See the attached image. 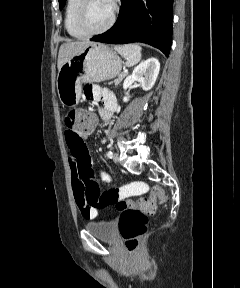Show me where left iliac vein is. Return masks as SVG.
I'll return each mask as SVG.
<instances>
[{"label": "left iliac vein", "mask_w": 240, "mask_h": 288, "mask_svg": "<svg viewBox=\"0 0 240 288\" xmlns=\"http://www.w3.org/2000/svg\"><path fill=\"white\" fill-rule=\"evenodd\" d=\"M113 161H114V162H118V161H119V155H118V153H114V154H113Z\"/></svg>", "instance_id": "obj_1"}]
</instances>
